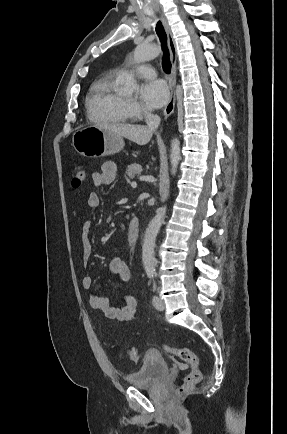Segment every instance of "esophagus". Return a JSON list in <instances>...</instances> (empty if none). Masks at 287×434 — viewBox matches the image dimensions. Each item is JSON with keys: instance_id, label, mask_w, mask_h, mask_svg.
<instances>
[{"instance_id": "obj_1", "label": "esophagus", "mask_w": 287, "mask_h": 434, "mask_svg": "<svg viewBox=\"0 0 287 434\" xmlns=\"http://www.w3.org/2000/svg\"><path fill=\"white\" fill-rule=\"evenodd\" d=\"M161 21L164 26V29L167 34L168 38V44H169V50H170V56H171V74L169 79V85H170V98L167 103V105L164 108V118H168L175 109V101H176V95H175V82H176V61H177V50H176V44L175 40L173 38L172 31L170 29V26L168 25L167 21L163 16H161Z\"/></svg>"}]
</instances>
